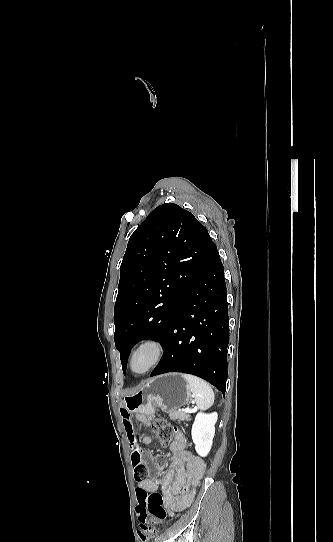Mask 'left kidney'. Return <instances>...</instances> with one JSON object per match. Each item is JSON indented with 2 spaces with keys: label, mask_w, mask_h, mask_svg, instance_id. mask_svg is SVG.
Returning a JSON list of instances; mask_svg holds the SVG:
<instances>
[{
  "label": "left kidney",
  "mask_w": 333,
  "mask_h": 542,
  "mask_svg": "<svg viewBox=\"0 0 333 542\" xmlns=\"http://www.w3.org/2000/svg\"><path fill=\"white\" fill-rule=\"evenodd\" d=\"M217 420V412H213V414H202V412H199L194 420L191 436L195 444V450L202 458H205L211 450Z\"/></svg>",
  "instance_id": "5707ae66"
}]
</instances>
